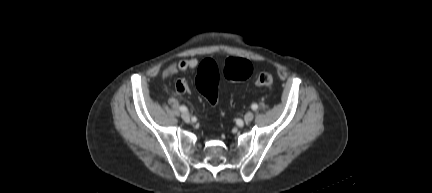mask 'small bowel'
<instances>
[{
    "mask_svg": "<svg viewBox=\"0 0 432 193\" xmlns=\"http://www.w3.org/2000/svg\"><path fill=\"white\" fill-rule=\"evenodd\" d=\"M199 62L196 58H188V59H182L177 64V69L180 71H191L197 68ZM187 88V83L184 80H179L176 83V89L179 92L185 91Z\"/></svg>",
    "mask_w": 432,
    "mask_h": 193,
    "instance_id": "c3829d8e",
    "label": "small bowel"
}]
</instances>
